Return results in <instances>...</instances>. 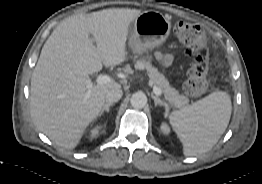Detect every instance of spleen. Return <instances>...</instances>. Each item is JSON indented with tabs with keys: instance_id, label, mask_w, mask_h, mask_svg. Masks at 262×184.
Masks as SVG:
<instances>
[{
	"instance_id": "obj_1",
	"label": "spleen",
	"mask_w": 262,
	"mask_h": 184,
	"mask_svg": "<svg viewBox=\"0 0 262 184\" xmlns=\"http://www.w3.org/2000/svg\"><path fill=\"white\" fill-rule=\"evenodd\" d=\"M232 111L230 95L216 91L169 115V122L183 144L185 156L203 154L218 142Z\"/></svg>"
}]
</instances>
